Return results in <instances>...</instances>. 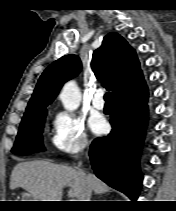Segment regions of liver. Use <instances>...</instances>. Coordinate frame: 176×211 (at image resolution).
Masks as SVG:
<instances>
[{
    "label": "liver",
    "instance_id": "1",
    "mask_svg": "<svg viewBox=\"0 0 176 211\" xmlns=\"http://www.w3.org/2000/svg\"><path fill=\"white\" fill-rule=\"evenodd\" d=\"M84 179L96 194L110 190L94 174H85L84 178L81 171L75 168L46 160L17 164L11 173L10 189L21 187L37 201H62L63 188L69 186L68 197L83 201Z\"/></svg>",
    "mask_w": 176,
    "mask_h": 211
}]
</instances>
